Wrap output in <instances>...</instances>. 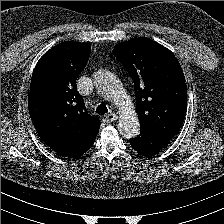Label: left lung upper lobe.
<instances>
[{"mask_svg":"<svg viewBox=\"0 0 224 224\" xmlns=\"http://www.w3.org/2000/svg\"><path fill=\"white\" fill-rule=\"evenodd\" d=\"M114 53L134 82L140 130L170 141L187 110V87L177 58L148 38L123 42Z\"/></svg>","mask_w":224,"mask_h":224,"instance_id":"1","label":"left lung upper lobe"}]
</instances>
